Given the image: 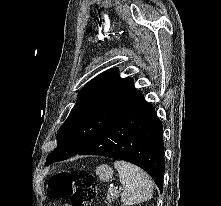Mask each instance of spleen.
<instances>
[{
  "mask_svg": "<svg viewBox=\"0 0 221 206\" xmlns=\"http://www.w3.org/2000/svg\"><path fill=\"white\" fill-rule=\"evenodd\" d=\"M114 166L123 185L121 201L124 205H135L152 198V181L142 169L125 161H115Z\"/></svg>",
  "mask_w": 221,
  "mask_h": 206,
  "instance_id": "obj_1",
  "label": "spleen"
}]
</instances>
